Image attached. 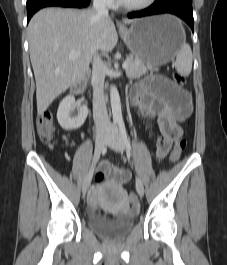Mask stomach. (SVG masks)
I'll use <instances>...</instances> for the list:
<instances>
[{"instance_id": "1", "label": "stomach", "mask_w": 227, "mask_h": 265, "mask_svg": "<svg viewBox=\"0 0 227 265\" xmlns=\"http://www.w3.org/2000/svg\"><path fill=\"white\" fill-rule=\"evenodd\" d=\"M120 35L135 58L152 66L171 61L185 43L181 21L169 14L138 19Z\"/></svg>"}]
</instances>
